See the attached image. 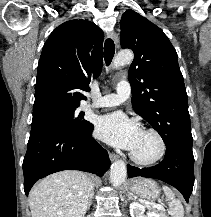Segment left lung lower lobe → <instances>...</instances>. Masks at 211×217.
I'll return each mask as SVG.
<instances>
[{"instance_id": "1", "label": "left lung lower lobe", "mask_w": 211, "mask_h": 217, "mask_svg": "<svg viewBox=\"0 0 211 217\" xmlns=\"http://www.w3.org/2000/svg\"><path fill=\"white\" fill-rule=\"evenodd\" d=\"M128 177L142 176L164 181L177 188L188 202L194 185L192 146L178 142L166 145L164 160L150 168L127 165Z\"/></svg>"}]
</instances>
